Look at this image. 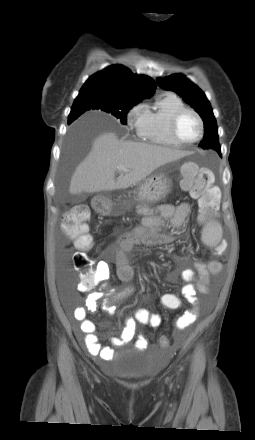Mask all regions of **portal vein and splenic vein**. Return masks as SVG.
I'll list each match as a JSON object with an SVG mask.
<instances>
[{"mask_svg":"<svg viewBox=\"0 0 255 440\" xmlns=\"http://www.w3.org/2000/svg\"><path fill=\"white\" fill-rule=\"evenodd\" d=\"M117 168H118V169H121V170H123V171H127V169H125L123 166H118Z\"/></svg>","mask_w":255,"mask_h":440,"instance_id":"portal-vein-and-splenic-vein-1","label":"portal vein and splenic vein"}]
</instances>
